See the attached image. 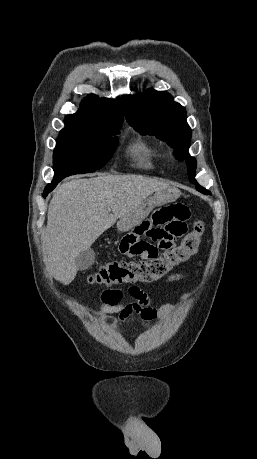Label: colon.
<instances>
[{"instance_id": "1", "label": "colon", "mask_w": 257, "mask_h": 459, "mask_svg": "<svg viewBox=\"0 0 257 459\" xmlns=\"http://www.w3.org/2000/svg\"><path fill=\"white\" fill-rule=\"evenodd\" d=\"M143 223V222H142ZM187 227V226H184ZM205 225L203 221H196L190 236L183 237L176 244L173 251H163L156 261H143L142 264L124 263L117 260L107 263L89 276V282L95 285H112L132 283L136 281H152L174 265L193 255L201 243Z\"/></svg>"}]
</instances>
